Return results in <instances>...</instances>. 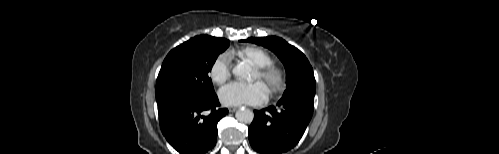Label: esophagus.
Instances as JSON below:
<instances>
[{
	"instance_id": "obj_1",
	"label": "esophagus",
	"mask_w": 499,
	"mask_h": 154,
	"mask_svg": "<svg viewBox=\"0 0 499 154\" xmlns=\"http://www.w3.org/2000/svg\"><path fill=\"white\" fill-rule=\"evenodd\" d=\"M228 110H229V112L233 113L237 110V108L236 107H229Z\"/></svg>"
}]
</instances>
